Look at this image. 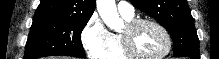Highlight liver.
Here are the masks:
<instances>
[{"instance_id":"1","label":"liver","mask_w":219,"mask_h":59,"mask_svg":"<svg viewBox=\"0 0 219 59\" xmlns=\"http://www.w3.org/2000/svg\"><path fill=\"white\" fill-rule=\"evenodd\" d=\"M47 59H67L66 57H51V58H47Z\"/></svg>"}]
</instances>
